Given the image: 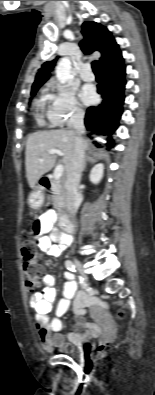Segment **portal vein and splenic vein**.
<instances>
[{"instance_id": "obj_1", "label": "portal vein and splenic vein", "mask_w": 155, "mask_h": 395, "mask_svg": "<svg viewBox=\"0 0 155 395\" xmlns=\"http://www.w3.org/2000/svg\"><path fill=\"white\" fill-rule=\"evenodd\" d=\"M49 154H58L60 156H63V152L61 150L58 149H51L48 151ZM42 161V159H40ZM64 171V166L59 164L56 166L55 170H54V179L55 180H59L63 174Z\"/></svg>"}]
</instances>
